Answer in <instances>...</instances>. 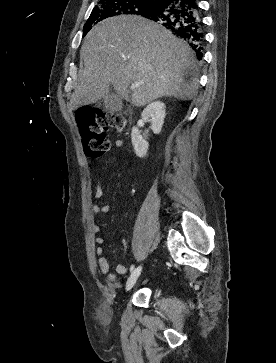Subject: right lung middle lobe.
Here are the masks:
<instances>
[{
    "label": "right lung middle lobe",
    "mask_w": 276,
    "mask_h": 363,
    "mask_svg": "<svg viewBox=\"0 0 276 363\" xmlns=\"http://www.w3.org/2000/svg\"><path fill=\"white\" fill-rule=\"evenodd\" d=\"M155 3L151 0H100L84 25L83 35L102 20L120 15H140L149 11Z\"/></svg>",
    "instance_id": "obj_1"
}]
</instances>
